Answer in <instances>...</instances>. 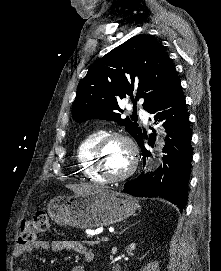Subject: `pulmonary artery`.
Listing matches in <instances>:
<instances>
[{
	"label": "pulmonary artery",
	"instance_id": "e3ab8cb5",
	"mask_svg": "<svg viewBox=\"0 0 221 271\" xmlns=\"http://www.w3.org/2000/svg\"><path fill=\"white\" fill-rule=\"evenodd\" d=\"M133 106H137V103H133Z\"/></svg>",
	"mask_w": 221,
	"mask_h": 271
}]
</instances>
